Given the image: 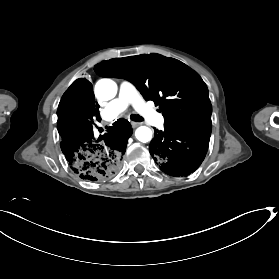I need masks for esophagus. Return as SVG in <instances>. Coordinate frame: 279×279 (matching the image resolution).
I'll use <instances>...</instances> for the list:
<instances>
[{"label": "esophagus", "mask_w": 279, "mask_h": 279, "mask_svg": "<svg viewBox=\"0 0 279 279\" xmlns=\"http://www.w3.org/2000/svg\"><path fill=\"white\" fill-rule=\"evenodd\" d=\"M140 124H141V123H139V122H131L132 128H136V127H138Z\"/></svg>", "instance_id": "esophagus-1"}]
</instances>
